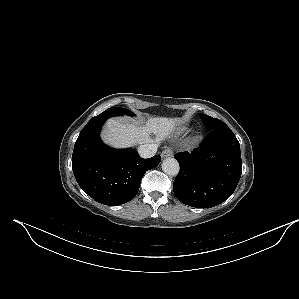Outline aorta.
I'll return each instance as SVG.
<instances>
[{
  "label": "aorta",
  "instance_id": "aorta-1",
  "mask_svg": "<svg viewBox=\"0 0 299 299\" xmlns=\"http://www.w3.org/2000/svg\"><path fill=\"white\" fill-rule=\"evenodd\" d=\"M162 170L170 176H176L179 173V163L175 158H166L162 162Z\"/></svg>",
  "mask_w": 299,
  "mask_h": 299
}]
</instances>
